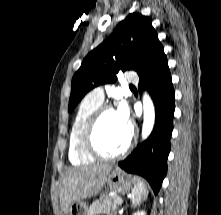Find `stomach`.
Returning <instances> with one entry per match:
<instances>
[{"label": "stomach", "mask_w": 221, "mask_h": 215, "mask_svg": "<svg viewBox=\"0 0 221 215\" xmlns=\"http://www.w3.org/2000/svg\"><path fill=\"white\" fill-rule=\"evenodd\" d=\"M134 178L125 174L122 170L116 168L107 175L106 184L110 190L125 194L133 190ZM63 215H88V205L84 201H76L63 212Z\"/></svg>", "instance_id": "0dacf381"}]
</instances>
